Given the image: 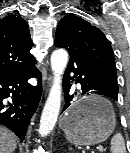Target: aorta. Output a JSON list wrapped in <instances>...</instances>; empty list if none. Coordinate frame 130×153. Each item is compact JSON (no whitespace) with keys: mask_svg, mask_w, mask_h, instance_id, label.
Instances as JSON below:
<instances>
[{"mask_svg":"<svg viewBox=\"0 0 130 153\" xmlns=\"http://www.w3.org/2000/svg\"><path fill=\"white\" fill-rule=\"evenodd\" d=\"M68 63V53L64 49H57L51 55V68L54 79L50 93L41 114L39 134L47 136L54 128L61 106L62 75Z\"/></svg>","mask_w":130,"mask_h":153,"instance_id":"obj_1","label":"aorta"}]
</instances>
